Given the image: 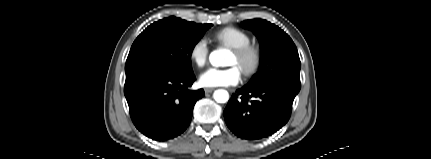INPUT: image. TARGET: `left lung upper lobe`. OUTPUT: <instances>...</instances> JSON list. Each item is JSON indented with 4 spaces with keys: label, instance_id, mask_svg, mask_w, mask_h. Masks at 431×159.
<instances>
[{
    "label": "left lung upper lobe",
    "instance_id": "left-lung-upper-lobe-1",
    "mask_svg": "<svg viewBox=\"0 0 431 159\" xmlns=\"http://www.w3.org/2000/svg\"><path fill=\"white\" fill-rule=\"evenodd\" d=\"M242 26L254 32L261 44L259 71L246 85L259 86L276 78L300 82V59L291 38L278 26L262 19L243 21Z\"/></svg>",
    "mask_w": 431,
    "mask_h": 159
}]
</instances>
